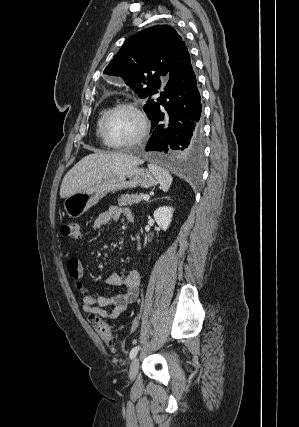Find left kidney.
I'll list each match as a JSON object with an SVG mask.
<instances>
[{
    "label": "left kidney",
    "mask_w": 299,
    "mask_h": 427,
    "mask_svg": "<svg viewBox=\"0 0 299 427\" xmlns=\"http://www.w3.org/2000/svg\"><path fill=\"white\" fill-rule=\"evenodd\" d=\"M154 219L159 227H161L162 230L166 231L172 221L173 216V208L172 207H159L154 211ZM138 242H139V236H137ZM140 243L138 244V250H140Z\"/></svg>",
    "instance_id": "obj_1"
}]
</instances>
